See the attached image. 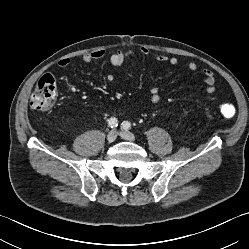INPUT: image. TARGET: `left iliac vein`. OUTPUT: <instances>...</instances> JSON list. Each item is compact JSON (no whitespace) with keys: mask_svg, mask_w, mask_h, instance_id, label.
Segmentation results:
<instances>
[{"mask_svg":"<svg viewBox=\"0 0 249 249\" xmlns=\"http://www.w3.org/2000/svg\"><path fill=\"white\" fill-rule=\"evenodd\" d=\"M120 136L128 141H134L135 140V135L131 132H127V131H122L120 132Z\"/></svg>","mask_w":249,"mask_h":249,"instance_id":"4c4485c4","label":"left iliac vein"}]
</instances>
